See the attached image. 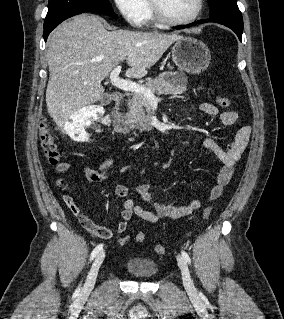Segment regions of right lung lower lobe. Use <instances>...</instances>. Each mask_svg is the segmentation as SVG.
<instances>
[{
	"label": "right lung lower lobe",
	"instance_id": "98d812e1",
	"mask_svg": "<svg viewBox=\"0 0 284 319\" xmlns=\"http://www.w3.org/2000/svg\"><path fill=\"white\" fill-rule=\"evenodd\" d=\"M90 12H94V13H101V14H105V15H108V16H111V17H117V15L112 11H90ZM78 14H81V13H73V14H69V15H65V16H62L60 18H58L57 20L47 24V25H44V40L46 41L47 40V37L49 35V33L57 26L59 25L61 22H63L64 20H66L67 18L69 17H72L74 15H78Z\"/></svg>",
	"mask_w": 284,
	"mask_h": 319
}]
</instances>
